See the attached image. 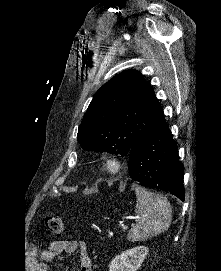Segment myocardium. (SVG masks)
Here are the masks:
<instances>
[{
  "mask_svg": "<svg viewBox=\"0 0 221 271\" xmlns=\"http://www.w3.org/2000/svg\"><path fill=\"white\" fill-rule=\"evenodd\" d=\"M121 167L119 165H104V170H101L104 174L109 176H116L124 170H119ZM117 169V170H116Z\"/></svg>",
  "mask_w": 221,
  "mask_h": 271,
  "instance_id": "obj_1",
  "label": "myocardium"
}]
</instances>
